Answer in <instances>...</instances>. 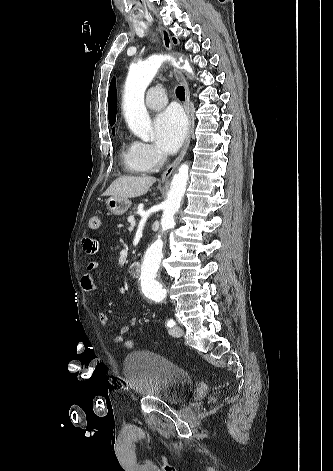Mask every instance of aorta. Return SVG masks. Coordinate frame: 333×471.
Here are the masks:
<instances>
[{
    "instance_id": "762f6f07",
    "label": "aorta",
    "mask_w": 333,
    "mask_h": 471,
    "mask_svg": "<svg viewBox=\"0 0 333 471\" xmlns=\"http://www.w3.org/2000/svg\"><path fill=\"white\" fill-rule=\"evenodd\" d=\"M164 56L155 55L130 67L125 82L123 110L129 129L140 139L152 140V125L144 103L145 91L156 75ZM183 70L193 75V69L185 62ZM189 166L182 164L174 175L170 191L164 203L161 218V234L145 252L141 266V283L147 296L164 299L167 292L159 281V268L163 258L162 234L175 225L174 216L186 191Z\"/></svg>"
}]
</instances>
